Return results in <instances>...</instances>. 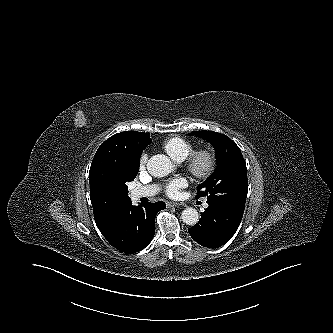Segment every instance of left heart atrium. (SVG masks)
I'll use <instances>...</instances> for the list:
<instances>
[{"mask_svg":"<svg viewBox=\"0 0 333 333\" xmlns=\"http://www.w3.org/2000/svg\"><path fill=\"white\" fill-rule=\"evenodd\" d=\"M187 186V180L183 177L175 178L168 182L166 193L169 196L175 197L179 194V190Z\"/></svg>","mask_w":333,"mask_h":333,"instance_id":"39dd6f15","label":"left heart atrium"}]
</instances>
